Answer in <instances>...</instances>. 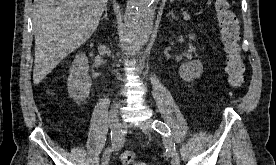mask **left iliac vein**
Segmentation results:
<instances>
[{
  "label": "left iliac vein",
  "instance_id": "4c4485c4",
  "mask_svg": "<svg viewBox=\"0 0 276 165\" xmlns=\"http://www.w3.org/2000/svg\"><path fill=\"white\" fill-rule=\"evenodd\" d=\"M140 127L143 131H154L152 128V120L151 119H147V120L141 122ZM170 155H171V164L172 165H180L179 155L176 152V150L173 151Z\"/></svg>",
  "mask_w": 276,
  "mask_h": 165
}]
</instances>
